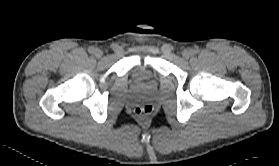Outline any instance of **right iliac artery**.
<instances>
[{
    "mask_svg": "<svg viewBox=\"0 0 279 166\" xmlns=\"http://www.w3.org/2000/svg\"><path fill=\"white\" fill-rule=\"evenodd\" d=\"M88 51H89V53H94L95 48L91 46V47L88 48Z\"/></svg>",
    "mask_w": 279,
    "mask_h": 166,
    "instance_id": "right-iliac-artery-1",
    "label": "right iliac artery"
}]
</instances>
